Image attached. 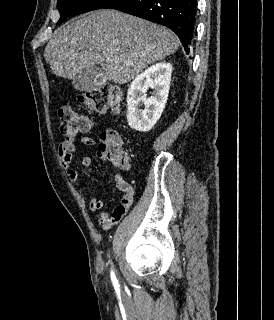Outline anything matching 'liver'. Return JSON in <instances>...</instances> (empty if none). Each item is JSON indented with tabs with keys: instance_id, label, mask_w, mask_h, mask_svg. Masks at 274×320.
<instances>
[{
	"instance_id": "liver-1",
	"label": "liver",
	"mask_w": 274,
	"mask_h": 320,
	"mask_svg": "<svg viewBox=\"0 0 274 320\" xmlns=\"http://www.w3.org/2000/svg\"><path fill=\"white\" fill-rule=\"evenodd\" d=\"M179 44L165 26L118 10H95L57 28L43 56L55 76L75 80L77 74L92 72L100 64L104 80L121 86L177 52Z\"/></svg>"
}]
</instances>
